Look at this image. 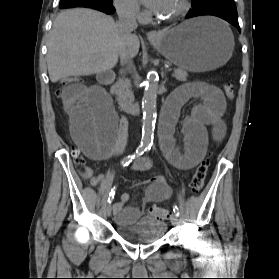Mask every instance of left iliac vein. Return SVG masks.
Segmentation results:
<instances>
[{"label":"left iliac vein","instance_id":"obj_1","mask_svg":"<svg viewBox=\"0 0 279 279\" xmlns=\"http://www.w3.org/2000/svg\"><path fill=\"white\" fill-rule=\"evenodd\" d=\"M171 223H172V225H177V223H178V217L175 215V214H173L172 216H171Z\"/></svg>","mask_w":279,"mask_h":279}]
</instances>
